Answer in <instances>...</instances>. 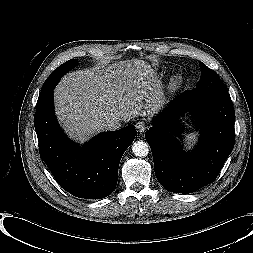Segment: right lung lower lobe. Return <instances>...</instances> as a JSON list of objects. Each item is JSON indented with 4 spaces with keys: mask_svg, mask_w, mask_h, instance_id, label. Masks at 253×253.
<instances>
[{
    "mask_svg": "<svg viewBox=\"0 0 253 253\" xmlns=\"http://www.w3.org/2000/svg\"><path fill=\"white\" fill-rule=\"evenodd\" d=\"M34 125L41 159L59 185L79 198L101 199L116 187L120 159L135 138V127L99 134L82 146L60 128L53 90L37 101Z\"/></svg>",
    "mask_w": 253,
    "mask_h": 253,
    "instance_id": "98d812e1",
    "label": "right lung lower lobe"
}]
</instances>
